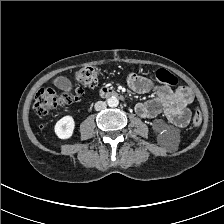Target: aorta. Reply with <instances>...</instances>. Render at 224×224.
I'll use <instances>...</instances> for the list:
<instances>
[{
  "label": "aorta",
  "mask_w": 224,
  "mask_h": 224,
  "mask_svg": "<svg viewBox=\"0 0 224 224\" xmlns=\"http://www.w3.org/2000/svg\"><path fill=\"white\" fill-rule=\"evenodd\" d=\"M107 103H108L109 107H117L119 104V100H118V98L112 96V97L108 98Z\"/></svg>",
  "instance_id": "obj_1"
}]
</instances>
